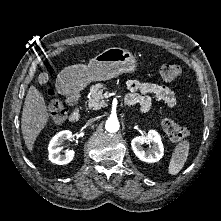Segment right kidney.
<instances>
[{"instance_id":"obj_1","label":"right kidney","mask_w":221,"mask_h":221,"mask_svg":"<svg viewBox=\"0 0 221 221\" xmlns=\"http://www.w3.org/2000/svg\"><path fill=\"white\" fill-rule=\"evenodd\" d=\"M72 137V132L69 130H64L57 133L50 141L48 146V158L52 163L58 165H65L70 163L75 155L74 150L66 151L65 154H61L60 145L65 140H70Z\"/></svg>"}]
</instances>
